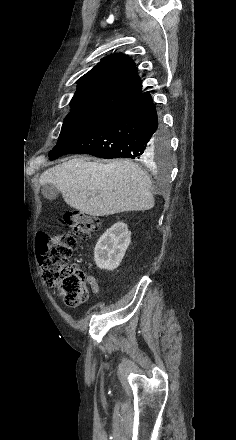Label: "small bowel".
<instances>
[{
  "instance_id": "obj_1",
  "label": "small bowel",
  "mask_w": 236,
  "mask_h": 440,
  "mask_svg": "<svg viewBox=\"0 0 236 440\" xmlns=\"http://www.w3.org/2000/svg\"><path fill=\"white\" fill-rule=\"evenodd\" d=\"M88 283L91 287V290L93 293H98L99 291V286L98 283L96 281V279L93 276H88Z\"/></svg>"
}]
</instances>
